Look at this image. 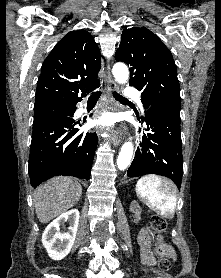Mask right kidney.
Instances as JSON below:
<instances>
[{
    "label": "right kidney",
    "instance_id": "ca27d5eb",
    "mask_svg": "<svg viewBox=\"0 0 221 278\" xmlns=\"http://www.w3.org/2000/svg\"><path fill=\"white\" fill-rule=\"evenodd\" d=\"M79 217V211L72 209L46 227L42 234V243L51 259L61 260L69 254L76 238ZM67 221L70 225L68 231L60 232V227H64Z\"/></svg>",
    "mask_w": 221,
    "mask_h": 278
}]
</instances>
